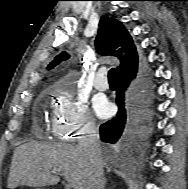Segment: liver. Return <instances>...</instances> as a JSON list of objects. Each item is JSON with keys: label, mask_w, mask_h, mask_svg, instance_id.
<instances>
[{"label": "liver", "mask_w": 188, "mask_h": 189, "mask_svg": "<svg viewBox=\"0 0 188 189\" xmlns=\"http://www.w3.org/2000/svg\"><path fill=\"white\" fill-rule=\"evenodd\" d=\"M89 170V160L78 146L31 141L14 151L8 188L56 185L62 173L72 188L85 189Z\"/></svg>", "instance_id": "obj_1"}]
</instances>
